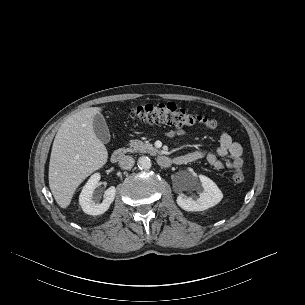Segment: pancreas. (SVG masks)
<instances>
[{
	"instance_id": "1",
	"label": "pancreas",
	"mask_w": 305,
	"mask_h": 305,
	"mask_svg": "<svg viewBox=\"0 0 305 305\" xmlns=\"http://www.w3.org/2000/svg\"><path fill=\"white\" fill-rule=\"evenodd\" d=\"M124 151L130 153H150L151 155H154L157 152V150L150 143L140 140H131L129 143V148L124 149Z\"/></svg>"
}]
</instances>
